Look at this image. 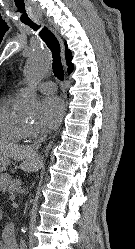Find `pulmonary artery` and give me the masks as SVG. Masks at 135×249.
I'll return each mask as SVG.
<instances>
[{
    "label": "pulmonary artery",
    "instance_id": "obj_1",
    "mask_svg": "<svg viewBox=\"0 0 135 249\" xmlns=\"http://www.w3.org/2000/svg\"><path fill=\"white\" fill-rule=\"evenodd\" d=\"M35 89L44 94H52L56 91V84L52 81L44 82L35 86ZM25 88H20L18 93H22Z\"/></svg>",
    "mask_w": 135,
    "mask_h": 249
}]
</instances>
